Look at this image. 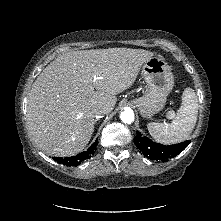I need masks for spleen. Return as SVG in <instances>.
Returning a JSON list of instances; mask_svg holds the SVG:
<instances>
[{
    "label": "spleen",
    "instance_id": "spleen-1",
    "mask_svg": "<svg viewBox=\"0 0 221 221\" xmlns=\"http://www.w3.org/2000/svg\"><path fill=\"white\" fill-rule=\"evenodd\" d=\"M198 114V100L192 88H186L176 118L171 123H148L150 135L160 143H179L190 135L195 127Z\"/></svg>",
    "mask_w": 221,
    "mask_h": 221
}]
</instances>
